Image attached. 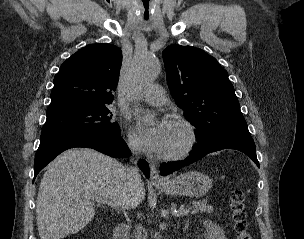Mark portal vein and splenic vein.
Instances as JSON below:
<instances>
[{"mask_svg":"<svg viewBox=\"0 0 304 239\" xmlns=\"http://www.w3.org/2000/svg\"><path fill=\"white\" fill-rule=\"evenodd\" d=\"M97 202H100V203H107V204H111L109 201H106L104 199H101V198H94ZM190 209L189 208H180L179 209V214L181 215H186L187 213H189Z\"/></svg>","mask_w":304,"mask_h":239,"instance_id":"obj_1","label":"portal vein and splenic vein"}]
</instances>
